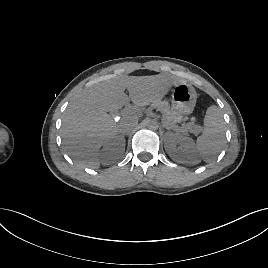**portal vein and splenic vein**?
<instances>
[{"mask_svg":"<svg viewBox=\"0 0 268 268\" xmlns=\"http://www.w3.org/2000/svg\"><path fill=\"white\" fill-rule=\"evenodd\" d=\"M123 113H124V114H130V113H131V110L125 109V110L123 111ZM195 128H196V131H199V129H198L197 126H195Z\"/></svg>","mask_w":268,"mask_h":268,"instance_id":"1","label":"portal vein and splenic vein"}]
</instances>
